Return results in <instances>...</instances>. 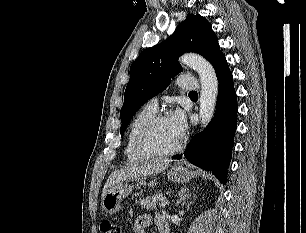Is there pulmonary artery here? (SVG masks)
Wrapping results in <instances>:
<instances>
[{
    "label": "pulmonary artery",
    "mask_w": 306,
    "mask_h": 233,
    "mask_svg": "<svg viewBox=\"0 0 306 233\" xmlns=\"http://www.w3.org/2000/svg\"><path fill=\"white\" fill-rule=\"evenodd\" d=\"M177 84L182 91H194L198 88L197 80L194 77H190L187 75L179 76ZM147 105L156 109L158 107L157 98H152L151 100H149Z\"/></svg>",
    "instance_id": "obj_1"
}]
</instances>
